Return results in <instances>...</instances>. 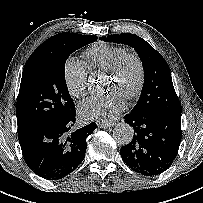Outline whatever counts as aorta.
Masks as SVG:
<instances>
[{"mask_svg":"<svg viewBox=\"0 0 203 203\" xmlns=\"http://www.w3.org/2000/svg\"><path fill=\"white\" fill-rule=\"evenodd\" d=\"M115 140L121 145L129 144L134 136L133 128L127 123H119L113 132Z\"/></svg>","mask_w":203,"mask_h":203,"instance_id":"762f6f07","label":"aorta"}]
</instances>
